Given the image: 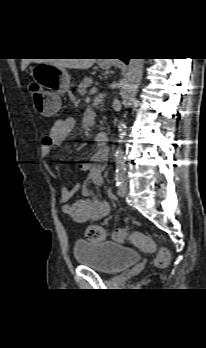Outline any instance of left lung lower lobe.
I'll return each mask as SVG.
<instances>
[{
  "mask_svg": "<svg viewBox=\"0 0 206 348\" xmlns=\"http://www.w3.org/2000/svg\"><path fill=\"white\" fill-rule=\"evenodd\" d=\"M125 63H128V59H122Z\"/></svg>",
  "mask_w": 206,
  "mask_h": 348,
  "instance_id": "left-lung-lower-lobe-1",
  "label": "left lung lower lobe"
}]
</instances>
